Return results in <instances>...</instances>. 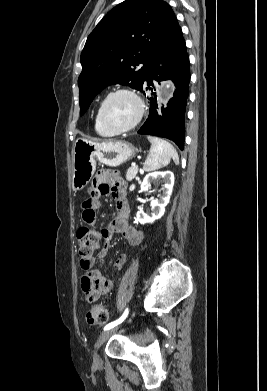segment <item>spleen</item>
<instances>
[{
  "label": "spleen",
  "instance_id": "spleen-1",
  "mask_svg": "<svg viewBox=\"0 0 267 391\" xmlns=\"http://www.w3.org/2000/svg\"><path fill=\"white\" fill-rule=\"evenodd\" d=\"M148 140L151 143V148L143 166L146 172L167 166L171 159L175 164H179L178 153L168 141L154 136H148Z\"/></svg>",
  "mask_w": 267,
  "mask_h": 391
}]
</instances>
